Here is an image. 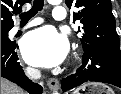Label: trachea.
Segmentation results:
<instances>
[{"label":"trachea","instance_id":"trachea-1","mask_svg":"<svg viewBox=\"0 0 121 94\" xmlns=\"http://www.w3.org/2000/svg\"><path fill=\"white\" fill-rule=\"evenodd\" d=\"M44 0H34L32 8L20 14L21 22H28L32 17H34L39 11L43 9Z\"/></svg>","mask_w":121,"mask_h":94}]
</instances>
